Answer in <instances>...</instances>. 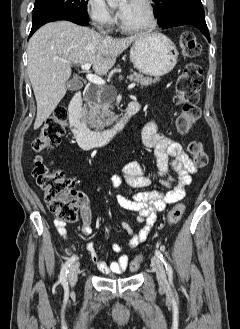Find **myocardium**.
<instances>
[{"label": "myocardium", "mask_w": 240, "mask_h": 329, "mask_svg": "<svg viewBox=\"0 0 240 329\" xmlns=\"http://www.w3.org/2000/svg\"><path fill=\"white\" fill-rule=\"evenodd\" d=\"M145 5L148 13V22L142 26L130 27L124 24L122 19L119 21V27L123 32L138 34L152 30L157 24L156 10L152 0H141Z\"/></svg>", "instance_id": "1"}]
</instances>
